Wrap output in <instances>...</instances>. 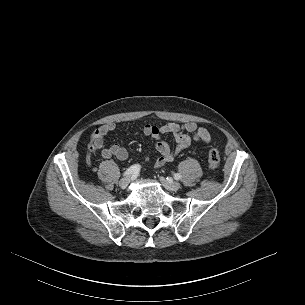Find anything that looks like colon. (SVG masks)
<instances>
[{
	"instance_id": "obj_1",
	"label": "colon",
	"mask_w": 305,
	"mask_h": 305,
	"mask_svg": "<svg viewBox=\"0 0 305 305\" xmlns=\"http://www.w3.org/2000/svg\"><path fill=\"white\" fill-rule=\"evenodd\" d=\"M97 147H100V145L97 142V140L95 139L91 148L93 150H95ZM219 163H220L219 152H218V150L215 147H211L210 150H209V154H208V165H209V168L212 171H215L219 167Z\"/></svg>"
}]
</instances>
